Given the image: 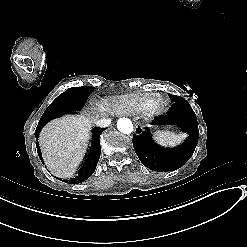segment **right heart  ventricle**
Returning a JSON list of instances; mask_svg holds the SVG:
<instances>
[{
	"label": "right heart ventricle",
	"instance_id": "e07e8e85",
	"mask_svg": "<svg viewBox=\"0 0 247 247\" xmlns=\"http://www.w3.org/2000/svg\"><path fill=\"white\" fill-rule=\"evenodd\" d=\"M150 95H151V97H152V94L151 93H149ZM105 99V98H104ZM104 99L102 100V103L104 102Z\"/></svg>",
	"mask_w": 247,
	"mask_h": 247
}]
</instances>
